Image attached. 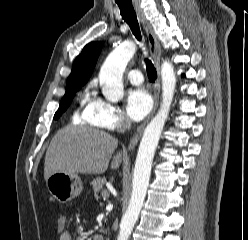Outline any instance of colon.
Returning <instances> with one entry per match:
<instances>
[{
	"label": "colon",
	"instance_id": "obj_1",
	"mask_svg": "<svg viewBox=\"0 0 248 240\" xmlns=\"http://www.w3.org/2000/svg\"><path fill=\"white\" fill-rule=\"evenodd\" d=\"M56 229L58 233H63L67 229V217L63 214L59 215L56 220Z\"/></svg>",
	"mask_w": 248,
	"mask_h": 240
}]
</instances>
